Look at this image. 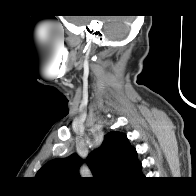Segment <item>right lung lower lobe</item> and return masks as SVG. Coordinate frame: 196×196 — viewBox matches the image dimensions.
I'll use <instances>...</instances> for the list:
<instances>
[{
	"instance_id": "98d812e1",
	"label": "right lung lower lobe",
	"mask_w": 196,
	"mask_h": 196,
	"mask_svg": "<svg viewBox=\"0 0 196 196\" xmlns=\"http://www.w3.org/2000/svg\"><path fill=\"white\" fill-rule=\"evenodd\" d=\"M139 178H143V176L141 175Z\"/></svg>"
}]
</instances>
